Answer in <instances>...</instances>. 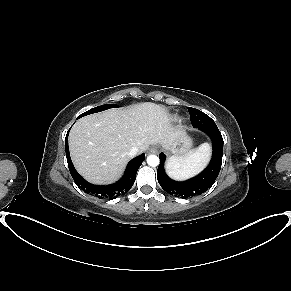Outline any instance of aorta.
Here are the masks:
<instances>
[{
    "label": "aorta",
    "mask_w": 291,
    "mask_h": 291,
    "mask_svg": "<svg viewBox=\"0 0 291 291\" xmlns=\"http://www.w3.org/2000/svg\"><path fill=\"white\" fill-rule=\"evenodd\" d=\"M148 165L155 167L159 165V158L156 155H149L147 157Z\"/></svg>",
    "instance_id": "762f6f07"
}]
</instances>
